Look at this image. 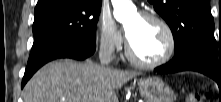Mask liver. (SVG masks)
Returning a JSON list of instances; mask_svg holds the SVG:
<instances>
[{
    "mask_svg": "<svg viewBox=\"0 0 221 102\" xmlns=\"http://www.w3.org/2000/svg\"><path fill=\"white\" fill-rule=\"evenodd\" d=\"M136 71L61 59L38 70L23 90V102H118L116 90Z\"/></svg>",
    "mask_w": 221,
    "mask_h": 102,
    "instance_id": "liver-1",
    "label": "liver"
}]
</instances>
